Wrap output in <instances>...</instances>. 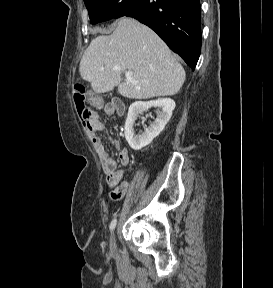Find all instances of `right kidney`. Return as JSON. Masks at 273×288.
Here are the masks:
<instances>
[{"label": "right kidney", "instance_id": "ca27d5eb", "mask_svg": "<svg viewBox=\"0 0 273 288\" xmlns=\"http://www.w3.org/2000/svg\"><path fill=\"white\" fill-rule=\"evenodd\" d=\"M156 108L157 117L149 127L145 128L140 135L134 134V123L139 114ZM175 109V102L170 98H158L147 102L138 101L133 103L128 110L127 119L124 127L125 138L133 150H140L149 145L164 129Z\"/></svg>", "mask_w": 273, "mask_h": 288}]
</instances>
